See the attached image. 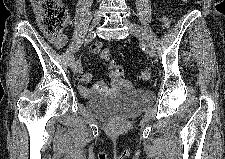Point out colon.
<instances>
[{
    "label": "colon",
    "instance_id": "obj_1",
    "mask_svg": "<svg viewBox=\"0 0 225 159\" xmlns=\"http://www.w3.org/2000/svg\"><path fill=\"white\" fill-rule=\"evenodd\" d=\"M39 22L46 34L53 37H63V31L69 23V14L66 6L61 0H38L37 7ZM165 28L170 26V19L166 14L161 17ZM64 41V39H62ZM99 56L109 64L111 76L117 80L124 76V67L117 64L113 59L109 49L100 51ZM150 69H143L140 73L142 81H148L152 78Z\"/></svg>",
    "mask_w": 225,
    "mask_h": 159
}]
</instances>
